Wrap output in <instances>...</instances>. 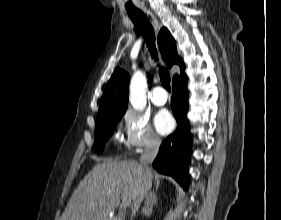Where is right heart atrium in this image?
Segmentation results:
<instances>
[{"label":"right heart atrium","instance_id":"right-heart-atrium-1","mask_svg":"<svg viewBox=\"0 0 281 220\" xmlns=\"http://www.w3.org/2000/svg\"><path fill=\"white\" fill-rule=\"evenodd\" d=\"M122 141L130 151L151 149L160 145V139L148 118L134 111H128L124 116Z\"/></svg>","mask_w":281,"mask_h":220}]
</instances>
